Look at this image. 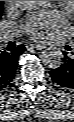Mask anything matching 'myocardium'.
I'll return each mask as SVG.
<instances>
[{
	"instance_id": "myocardium-1",
	"label": "myocardium",
	"mask_w": 74,
	"mask_h": 122,
	"mask_svg": "<svg viewBox=\"0 0 74 122\" xmlns=\"http://www.w3.org/2000/svg\"><path fill=\"white\" fill-rule=\"evenodd\" d=\"M72 1H63V3L67 6L70 7Z\"/></svg>"
}]
</instances>
